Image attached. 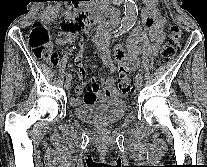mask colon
Instances as JSON below:
<instances>
[{
	"instance_id": "colon-1",
	"label": "colon",
	"mask_w": 207,
	"mask_h": 167,
	"mask_svg": "<svg viewBox=\"0 0 207 167\" xmlns=\"http://www.w3.org/2000/svg\"><path fill=\"white\" fill-rule=\"evenodd\" d=\"M59 1V0H57ZM58 4L48 7L42 16V21L34 24L29 34V45L35 57H44L53 65L59 63V55L52 48L50 32L48 25L55 19ZM73 12H69L65 19L61 21V37H67L69 34L76 31L77 28L85 21V15H80L74 21ZM79 19V20H78ZM182 32L181 29L172 25L169 28L168 39L161 51V61L168 62L173 59L176 48L181 45ZM118 89L121 93L127 94L132 91V80L123 68L119 71Z\"/></svg>"
}]
</instances>
